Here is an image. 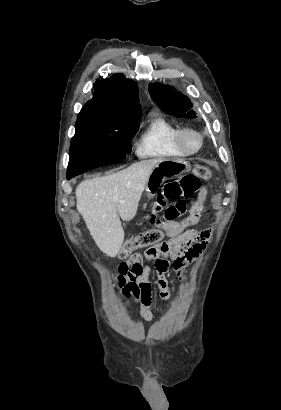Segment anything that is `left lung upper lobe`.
Listing matches in <instances>:
<instances>
[{
  "label": "left lung upper lobe",
  "instance_id": "1",
  "mask_svg": "<svg viewBox=\"0 0 281 410\" xmlns=\"http://www.w3.org/2000/svg\"><path fill=\"white\" fill-rule=\"evenodd\" d=\"M149 93L153 101L166 113L176 117L193 118L196 113L191 110L192 103L186 96L176 93L169 86L150 84Z\"/></svg>",
  "mask_w": 281,
  "mask_h": 410
}]
</instances>
